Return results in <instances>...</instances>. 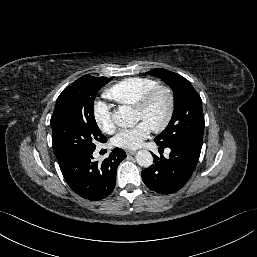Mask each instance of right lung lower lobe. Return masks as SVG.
<instances>
[{
    "label": "right lung lower lobe",
    "instance_id": "right-lung-lower-lobe-1",
    "mask_svg": "<svg viewBox=\"0 0 257 257\" xmlns=\"http://www.w3.org/2000/svg\"><path fill=\"white\" fill-rule=\"evenodd\" d=\"M92 153L73 155L59 164L70 188L79 196L97 201L107 197L116 184V170L126 157L124 150L115 148L101 164Z\"/></svg>",
    "mask_w": 257,
    "mask_h": 257
}]
</instances>
